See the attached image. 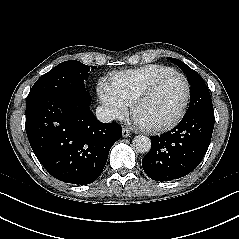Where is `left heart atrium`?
<instances>
[{"instance_id":"39dd6f15","label":"left heart atrium","mask_w":239,"mask_h":239,"mask_svg":"<svg viewBox=\"0 0 239 239\" xmlns=\"http://www.w3.org/2000/svg\"><path fill=\"white\" fill-rule=\"evenodd\" d=\"M134 123H135L136 126H138L140 128H145L146 127V125H144L142 122H140L138 119H136V117H135Z\"/></svg>"}]
</instances>
